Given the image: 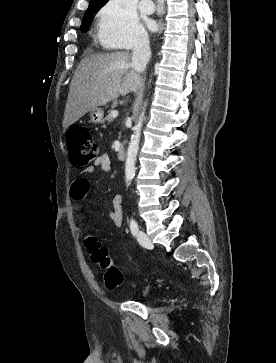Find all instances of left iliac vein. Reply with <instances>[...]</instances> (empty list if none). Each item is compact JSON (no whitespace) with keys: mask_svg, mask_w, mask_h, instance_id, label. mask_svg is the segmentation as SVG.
<instances>
[{"mask_svg":"<svg viewBox=\"0 0 276 363\" xmlns=\"http://www.w3.org/2000/svg\"><path fill=\"white\" fill-rule=\"evenodd\" d=\"M137 240H138L139 244L142 245L143 247H145L147 249L153 248V244H152L151 240L149 239V237L145 234V232L139 231L138 235H137Z\"/></svg>","mask_w":276,"mask_h":363,"instance_id":"obj_1","label":"left iliac vein"}]
</instances>
